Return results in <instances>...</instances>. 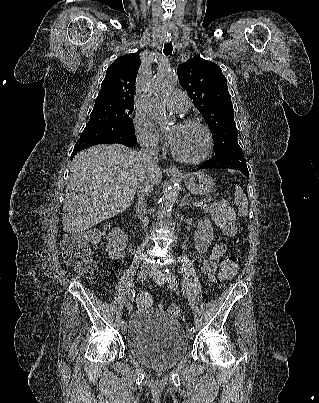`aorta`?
I'll return each mask as SVG.
<instances>
[{
  "mask_svg": "<svg viewBox=\"0 0 319 403\" xmlns=\"http://www.w3.org/2000/svg\"><path fill=\"white\" fill-rule=\"evenodd\" d=\"M177 82L175 74L170 69H160L153 77L147 87V105L149 115L159 125H163L167 121L166 109L163 99L170 89ZM178 196L177 186H170L161 198L162 212L165 216H170L173 205Z\"/></svg>",
  "mask_w": 319,
  "mask_h": 403,
  "instance_id": "obj_1",
  "label": "aorta"
}]
</instances>
